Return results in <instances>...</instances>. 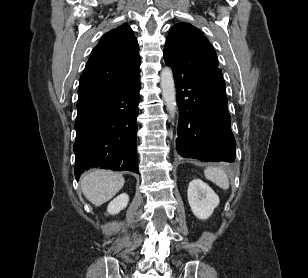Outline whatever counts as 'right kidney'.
<instances>
[{
	"label": "right kidney",
	"instance_id": "1",
	"mask_svg": "<svg viewBox=\"0 0 308 278\" xmlns=\"http://www.w3.org/2000/svg\"><path fill=\"white\" fill-rule=\"evenodd\" d=\"M128 202L129 196L126 193L120 194L109 203L107 212L111 215L118 214L128 205Z\"/></svg>",
	"mask_w": 308,
	"mask_h": 278
}]
</instances>
